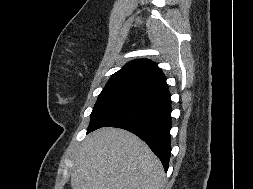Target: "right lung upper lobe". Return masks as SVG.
<instances>
[{
  "label": "right lung upper lobe",
  "mask_w": 253,
  "mask_h": 189,
  "mask_svg": "<svg viewBox=\"0 0 253 189\" xmlns=\"http://www.w3.org/2000/svg\"><path fill=\"white\" fill-rule=\"evenodd\" d=\"M167 86L161 69L151 60L137 59L112 75L105 88H132L147 93Z\"/></svg>",
  "instance_id": "obj_1"
}]
</instances>
